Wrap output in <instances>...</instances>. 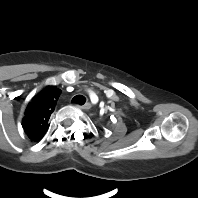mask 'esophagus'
Listing matches in <instances>:
<instances>
[{
    "label": "esophagus",
    "mask_w": 198,
    "mask_h": 198,
    "mask_svg": "<svg viewBox=\"0 0 198 198\" xmlns=\"http://www.w3.org/2000/svg\"><path fill=\"white\" fill-rule=\"evenodd\" d=\"M91 104L88 102V103H85L84 105H76V107L80 108V109H83V110H88L91 108Z\"/></svg>",
    "instance_id": "1"
}]
</instances>
